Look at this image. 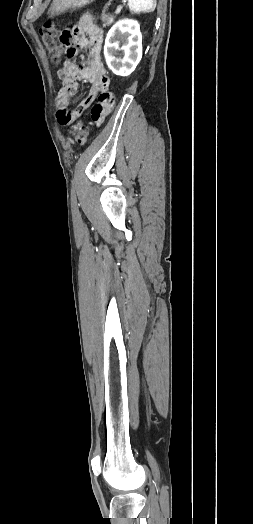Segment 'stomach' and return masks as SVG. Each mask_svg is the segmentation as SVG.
<instances>
[{
	"label": "stomach",
	"instance_id": "stomach-1",
	"mask_svg": "<svg viewBox=\"0 0 253 524\" xmlns=\"http://www.w3.org/2000/svg\"><path fill=\"white\" fill-rule=\"evenodd\" d=\"M94 0H53L49 12L52 16L59 15L70 9L83 7Z\"/></svg>",
	"mask_w": 253,
	"mask_h": 524
}]
</instances>
